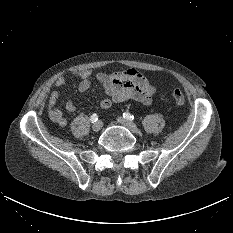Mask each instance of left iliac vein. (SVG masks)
<instances>
[{
	"label": "left iliac vein",
	"instance_id": "obj_1",
	"mask_svg": "<svg viewBox=\"0 0 233 233\" xmlns=\"http://www.w3.org/2000/svg\"><path fill=\"white\" fill-rule=\"evenodd\" d=\"M117 121H118L121 125H123V126H125L126 128H128L131 132H133V133H139L138 127H137L133 122L128 121V120H126V119H124V118H122V117H118V118H117Z\"/></svg>",
	"mask_w": 233,
	"mask_h": 233
}]
</instances>
